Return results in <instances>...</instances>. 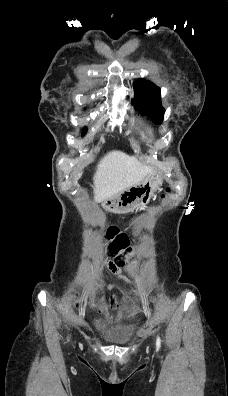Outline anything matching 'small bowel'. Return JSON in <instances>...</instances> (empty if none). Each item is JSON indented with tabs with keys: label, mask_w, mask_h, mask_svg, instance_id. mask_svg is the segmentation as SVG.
<instances>
[{
	"label": "small bowel",
	"mask_w": 228,
	"mask_h": 396,
	"mask_svg": "<svg viewBox=\"0 0 228 396\" xmlns=\"http://www.w3.org/2000/svg\"><path fill=\"white\" fill-rule=\"evenodd\" d=\"M107 266H108L109 270H110L113 274H115V275L121 277V273H120L119 268H118L113 262L108 261V262H107ZM106 289H107V290H112V289H117V288H116V286L109 284V285L106 286Z\"/></svg>",
	"instance_id": "obj_1"
}]
</instances>
